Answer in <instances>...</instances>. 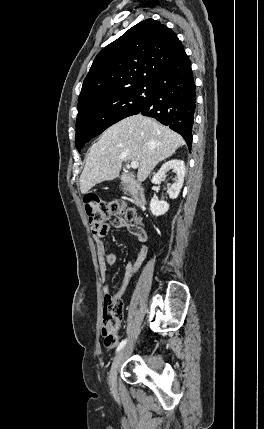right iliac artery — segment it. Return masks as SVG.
<instances>
[{
    "instance_id": "right-iliac-artery-1",
    "label": "right iliac artery",
    "mask_w": 264,
    "mask_h": 429,
    "mask_svg": "<svg viewBox=\"0 0 264 429\" xmlns=\"http://www.w3.org/2000/svg\"><path fill=\"white\" fill-rule=\"evenodd\" d=\"M126 342H127V339L122 340V341L119 343V345H118V347H117V349H116V352L120 351V350H121V349L126 345Z\"/></svg>"
}]
</instances>
